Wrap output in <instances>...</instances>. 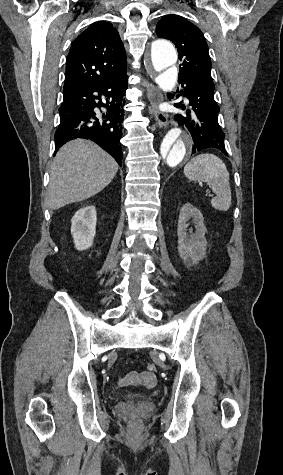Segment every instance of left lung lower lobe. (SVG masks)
<instances>
[{"label":"left lung lower lobe","instance_id":"1","mask_svg":"<svg viewBox=\"0 0 283 475\" xmlns=\"http://www.w3.org/2000/svg\"><path fill=\"white\" fill-rule=\"evenodd\" d=\"M178 81L182 86L185 85L181 94L189 99L192 109L187 111V116L178 115L175 119L180 126L190 131L193 139L192 153L215 148L227 155L225 135L218 123L220 109L214 100V84L195 78L179 77Z\"/></svg>","mask_w":283,"mask_h":475}]
</instances>
